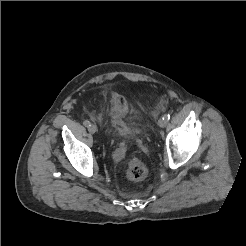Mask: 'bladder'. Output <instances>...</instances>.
I'll list each match as a JSON object with an SVG mask.
<instances>
[{
    "mask_svg": "<svg viewBox=\"0 0 246 246\" xmlns=\"http://www.w3.org/2000/svg\"><path fill=\"white\" fill-rule=\"evenodd\" d=\"M109 125L111 133L117 138H131L139 132V127L128 119L127 110L117 100L109 107Z\"/></svg>",
    "mask_w": 246,
    "mask_h": 246,
    "instance_id": "31cf9c89",
    "label": "bladder"
}]
</instances>
